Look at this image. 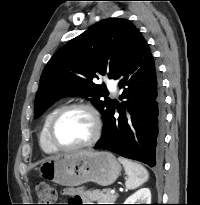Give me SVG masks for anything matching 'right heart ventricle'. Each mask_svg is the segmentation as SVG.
<instances>
[{"instance_id":"1","label":"right heart ventricle","mask_w":200,"mask_h":205,"mask_svg":"<svg viewBox=\"0 0 200 205\" xmlns=\"http://www.w3.org/2000/svg\"><path fill=\"white\" fill-rule=\"evenodd\" d=\"M59 108L60 107L57 106L48 112V114L46 115L44 119L41 131H40L39 143L43 151H45L46 153H53L56 151V149L51 145L48 139V126H49V123L53 115L59 110Z\"/></svg>"}]
</instances>
